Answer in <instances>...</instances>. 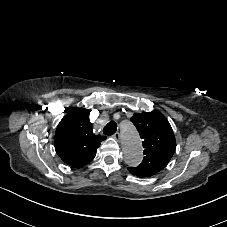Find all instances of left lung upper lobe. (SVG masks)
I'll return each mask as SVG.
<instances>
[{"label": "left lung upper lobe", "mask_w": 227, "mask_h": 227, "mask_svg": "<svg viewBox=\"0 0 227 227\" xmlns=\"http://www.w3.org/2000/svg\"><path fill=\"white\" fill-rule=\"evenodd\" d=\"M143 139L144 158L137 167H128L129 172L138 177H148L158 173L170 161L176 149L173 130L160 111L134 114L131 119Z\"/></svg>", "instance_id": "5c2ea615"}]
</instances>
